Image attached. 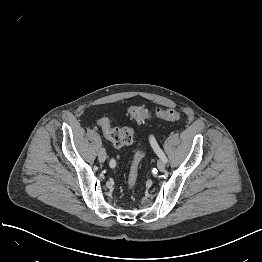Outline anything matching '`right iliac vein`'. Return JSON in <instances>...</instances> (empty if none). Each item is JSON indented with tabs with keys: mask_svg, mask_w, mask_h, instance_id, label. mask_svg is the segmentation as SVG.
I'll use <instances>...</instances> for the list:
<instances>
[{
	"mask_svg": "<svg viewBox=\"0 0 262 262\" xmlns=\"http://www.w3.org/2000/svg\"><path fill=\"white\" fill-rule=\"evenodd\" d=\"M98 158L100 162H104L107 158L106 151L104 149H101L98 153Z\"/></svg>",
	"mask_w": 262,
	"mask_h": 262,
	"instance_id": "obj_1",
	"label": "right iliac vein"
}]
</instances>
